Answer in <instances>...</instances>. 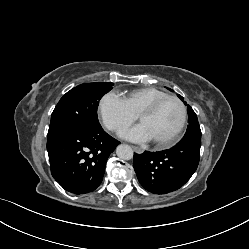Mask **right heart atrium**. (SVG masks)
Masks as SVG:
<instances>
[{
    "label": "right heart atrium",
    "mask_w": 249,
    "mask_h": 249,
    "mask_svg": "<svg viewBox=\"0 0 249 249\" xmlns=\"http://www.w3.org/2000/svg\"><path fill=\"white\" fill-rule=\"evenodd\" d=\"M98 115L103 125L110 131L121 133L136 119L125 102L113 92L104 94L97 107Z\"/></svg>",
    "instance_id": "right-heart-atrium-1"
}]
</instances>
